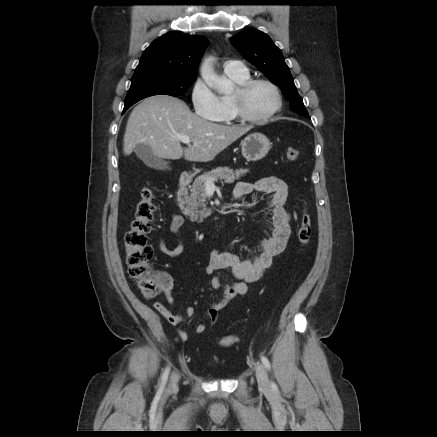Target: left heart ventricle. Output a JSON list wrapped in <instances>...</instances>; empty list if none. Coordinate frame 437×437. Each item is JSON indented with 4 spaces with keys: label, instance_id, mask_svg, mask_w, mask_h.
Listing matches in <instances>:
<instances>
[{
    "label": "left heart ventricle",
    "instance_id": "b2bd125f",
    "mask_svg": "<svg viewBox=\"0 0 437 437\" xmlns=\"http://www.w3.org/2000/svg\"><path fill=\"white\" fill-rule=\"evenodd\" d=\"M275 105V95L272 89L264 84L254 86L246 98V109L255 117L268 114Z\"/></svg>",
    "mask_w": 437,
    "mask_h": 437
}]
</instances>
